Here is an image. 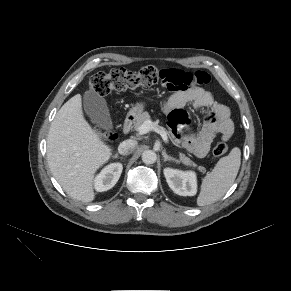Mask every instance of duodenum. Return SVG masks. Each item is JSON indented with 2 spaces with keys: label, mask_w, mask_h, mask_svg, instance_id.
Masks as SVG:
<instances>
[{
  "label": "duodenum",
  "mask_w": 291,
  "mask_h": 291,
  "mask_svg": "<svg viewBox=\"0 0 291 291\" xmlns=\"http://www.w3.org/2000/svg\"><path fill=\"white\" fill-rule=\"evenodd\" d=\"M135 120V115L130 113L126 116L123 123V132L124 134H128L132 128L133 122Z\"/></svg>",
  "instance_id": "410a0bca"
}]
</instances>
